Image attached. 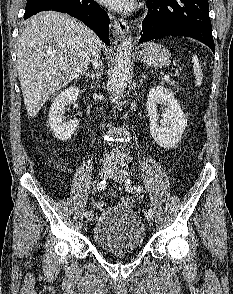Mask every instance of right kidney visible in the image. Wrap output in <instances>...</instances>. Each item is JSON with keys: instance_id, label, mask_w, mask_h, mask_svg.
<instances>
[{"instance_id": "1", "label": "right kidney", "mask_w": 233, "mask_h": 294, "mask_svg": "<svg viewBox=\"0 0 233 294\" xmlns=\"http://www.w3.org/2000/svg\"><path fill=\"white\" fill-rule=\"evenodd\" d=\"M79 93V87L71 86L58 94L51 105L49 125L54 136L61 141L69 140L79 124L78 120L70 123L64 122L65 107L76 102Z\"/></svg>"}]
</instances>
